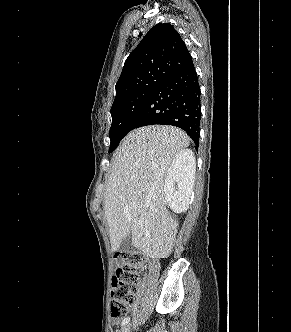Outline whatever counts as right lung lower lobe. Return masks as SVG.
Masks as SVG:
<instances>
[{
    "instance_id": "right-lung-lower-lobe-1",
    "label": "right lung lower lobe",
    "mask_w": 291,
    "mask_h": 332,
    "mask_svg": "<svg viewBox=\"0 0 291 332\" xmlns=\"http://www.w3.org/2000/svg\"><path fill=\"white\" fill-rule=\"evenodd\" d=\"M200 87L193 63L168 75L154 89L131 121L129 131L147 125H172L199 145Z\"/></svg>"
}]
</instances>
